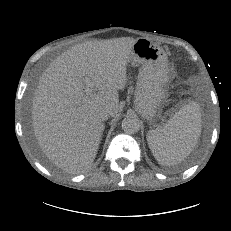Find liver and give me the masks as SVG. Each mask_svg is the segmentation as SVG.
<instances>
[{
  "label": "liver",
  "mask_w": 231,
  "mask_h": 231,
  "mask_svg": "<svg viewBox=\"0 0 231 231\" xmlns=\"http://www.w3.org/2000/svg\"><path fill=\"white\" fill-rule=\"evenodd\" d=\"M135 41L122 37L77 44L42 75L32 101L34 134L47 158L66 172L92 165L104 130L98 113L103 108L111 116L118 113V91L126 86Z\"/></svg>",
  "instance_id": "1"
}]
</instances>
